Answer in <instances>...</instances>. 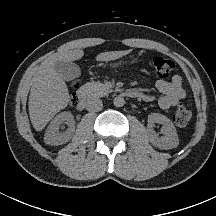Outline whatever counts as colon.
Here are the masks:
<instances>
[{
	"label": "colon",
	"mask_w": 216,
	"mask_h": 216,
	"mask_svg": "<svg viewBox=\"0 0 216 216\" xmlns=\"http://www.w3.org/2000/svg\"><path fill=\"white\" fill-rule=\"evenodd\" d=\"M151 63L155 74L160 78L168 77L174 68V64L171 60L159 55L154 56ZM71 102L72 104H76L77 102V95L75 90L71 94ZM190 119L191 112L189 111V109L183 104L177 105L173 115L174 123L178 127H185L188 125Z\"/></svg>",
	"instance_id": "1"
}]
</instances>
